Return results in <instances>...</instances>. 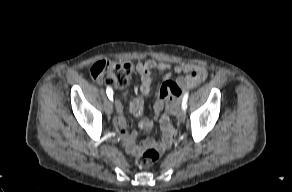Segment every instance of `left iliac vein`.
I'll list each match as a JSON object with an SVG mask.
<instances>
[{"label":"left iliac vein","instance_id":"4c4485c4","mask_svg":"<svg viewBox=\"0 0 292 192\" xmlns=\"http://www.w3.org/2000/svg\"><path fill=\"white\" fill-rule=\"evenodd\" d=\"M186 118V113L185 111L182 109L181 111H179L178 115H177V119L179 122H184Z\"/></svg>","mask_w":292,"mask_h":192}]
</instances>
